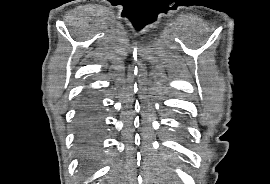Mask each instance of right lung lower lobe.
<instances>
[{
    "instance_id": "1",
    "label": "right lung lower lobe",
    "mask_w": 270,
    "mask_h": 184,
    "mask_svg": "<svg viewBox=\"0 0 270 184\" xmlns=\"http://www.w3.org/2000/svg\"><path fill=\"white\" fill-rule=\"evenodd\" d=\"M99 129L95 104L91 100H86L78 116V139L84 152L92 154L95 151Z\"/></svg>"
}]
</instances>
